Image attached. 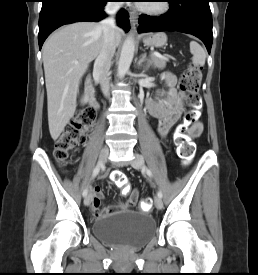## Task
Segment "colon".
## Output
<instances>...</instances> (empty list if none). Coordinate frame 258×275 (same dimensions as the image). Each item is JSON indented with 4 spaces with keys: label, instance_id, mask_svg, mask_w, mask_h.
Listing matches in <instances>:
<instances>
[{
    "label": "colon",
    "instance_id": "obj_1",
    "mask_svg": "<svg viewBox=\"0 0 258 275\" xmlns=\"http://www.w3.org/2000/svg\"><path fill=\"white\" fill-rule=\"evenodd\" d=\"M201 80V69L192 65L187 68L180 77L179 88L184 94L188 110L184 121L180 126L178 146L179 156L184 161H189L194 153V144L186 137V131L197 123L200 116L201 99L198 94ZM94 121V113L89 109L78 111L56 140L54 156L60 165H65L70 152L83 142L85 134L91 129ZM112 181L123 193L130 192V186L125 173L115 171L112 173ZM142 211L151 208V199L144 198L139 202Z\"/></svg>",
    "mask_w": 258,
    "mask_h": 275
}]
</instances>
